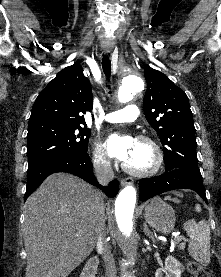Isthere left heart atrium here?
Listing matches in <instances>:
<instances>
[{"label":"left heart atrium","mask_w":221,"mask_h":277,"mask_svg":"<svg viewBox=\"0 0 221 277\" xmlns=\"http://www.w3.org/2000/svg\"><path fill=\"white\" fill-rule=\"evenodd\" d=\"M136 140L130 136L111 135L108 140L110 155L120 161H127L133 152Z\"/></svg>","instance_id":"left-heart-atrium-1"}]
</instances>
